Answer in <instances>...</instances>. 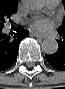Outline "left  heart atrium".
<instances>
[{
    "instance_id": "left-heart-atrium-1",
    "label": "left heart atrium",
    "mask_w": 65,
    "mask_h": 89,
    "mask_svg": "<svg viewBox=\"0 0 65 89\" xmlns=\"http://www.w3.org/2000/svg\"><path fill=\"white\" fill-rule=\"evenodd\" d=\"M52 26V21L48 18H38L31 23V27L40 32L49 30Z\"/></svg>"
}]
</instances>
